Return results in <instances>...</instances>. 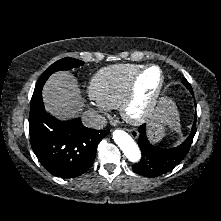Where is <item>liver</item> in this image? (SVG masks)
<instances>
[{
    "label": "liver",
    "instance_id": "6515ba94",
    "mask_svg": "<svg viewBox=\"0 0 221 221\" xmlns=\"http://www.w3.org/2000/svg\"><path fill=\"white\" fill-rule=\"evenodd\" d=\"M46 110L61 118L70 119L80 113L83 107L77 79L68 71H59L49 77L42 91ZM168 125H179V114L172 100L165 101L159 108Z\"/></svg>",
    "mask_w": 221,
    "mask_h": 221
}]
</instances>
